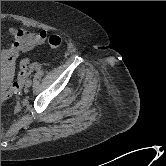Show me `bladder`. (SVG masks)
I'll return each mask as SVG.
<instances>
[{"label": "bladder", "mask_w": 166, "mask_h": 166, "mask_svg": "<svg viewBox=\"0 0 166 166\" xmlns=\"http://www.w3.org/2000/svg\"><path fill=\"white\" fill-rule=\"evenodd\" d=\"M9 83H10V79L9 80H5V81L1 80V92L3 90H5V88L9 85Z\"/></svg>", "instance_id": "31cf9c89"}]
</instances>
